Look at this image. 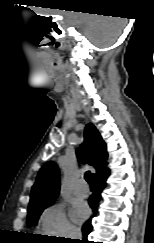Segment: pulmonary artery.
Listing matches in <instances>:
<instances>
[{"label":"pulmonary artery","instance_id":"e3ab8cb5","mask_svg":"<svg viewBox=\"0 0 154 243\" xmlns=\"http://www.w3.org/2000/svg\"><path fill=\"white\" fill-rule=\"evenodd\" d=\"M74 194L78 197H85L88 194V188L85 186V182L81 181L79 182L75 189H74Z\"/></svg>","mask_w":154,"mask_h":243}]
</instances>
